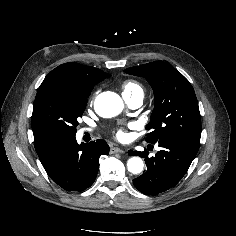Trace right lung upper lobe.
<instances>
[{
    "label": "right lung upper lobe",
    "mask_w": 236,
    "mask_h": 236,
    "mask_svg": "<svg viewBox=\"0 0 236 236\" xmlns=\"http://www.w3.org/2000/svg\"><path fill=\"white\" fill-rule=\"evenodd\" d=\"M108 77L110 74L100 69L68 62L52 70L42 83H61L87 94L92 91L95 84Z\"/></svg>",
    "instance_id": "right-lung-upper-lobe-1"
}]
</instances>
